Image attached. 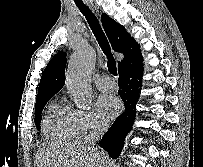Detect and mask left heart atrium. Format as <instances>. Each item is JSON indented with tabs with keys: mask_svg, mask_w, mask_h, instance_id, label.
<instances>
[{
	"mask_svg": "<svg viewBox=\"0 0 203 167\" xmlns=\"http://www.w3.org/2000/svg\"><path fill=\"white\" fill-rule=\"evenodd\" d=\"M97 108L103 119L110 120L119 113L121 103L116 96L105 94L98 99Z\"/></svg>",
	"mask_w": 203,
	"mask_h": 167,
	"instance_id": "39dd6f15",
	"label": "left heart atrium"
}]
</instances>
